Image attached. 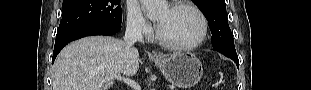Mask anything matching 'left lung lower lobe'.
<instances>
[{
	"mask_svg": "<svg viewBox=\"0 0 311 90\" xmlns=\"http://www.w3.org/2000/svg\"><path fill=\"white\" fill-rule=\"evenodd\" d=\"M217 51V50H216ZM220 53H222L223 55L231 58L235 63L236 65L239 67V60H238V57H237V54H229V53H226L224 51H218Z\"/></svg>",
	"mask_w": 311,
	"mask_h": 90,
	"instance_id": "obj_1",
	"label": "left lung lower lobe"
}]
</instances>
